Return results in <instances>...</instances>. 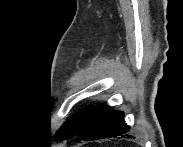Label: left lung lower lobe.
I'll return each instance as SVG.
<instances>
[{
	"mask_svg": "<svg viewBox=\"0 0 183 147\" xmlns=\"http://www.w3.org/2000/svg\"><path fill=\"white\" fill-rule=\"evenodd\" d=\"M129 130L123 112L111 110L105 105H97L91 110L75 136L79 141L121 138L125 137Z\"/></svg>",
	"mask_w": 183,
	"mask_h": 147,
	"instance_id": "obj_1",
	"label": "left lung lower lobe"
}]
</instances>
